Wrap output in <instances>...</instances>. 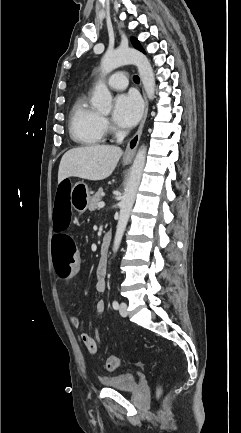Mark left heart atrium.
Returning <instances> with one entry per match:
<instances>
[{"mask_svg": "<svg viewBox=\"0 0 241 433\" xmlns=\"http://www.w3.org/2000/svg\"><path fill=\"white\" fill-rule=\"evenodd\" d=\"M142 100L135 92L123 93L114 101L113 120L123 128L136 125L142 114Z\"/></svg>", "mask_w": 241, "mask_h": 433, "instance_id": "1", "label": "left heart atrium"}]
</instances>
